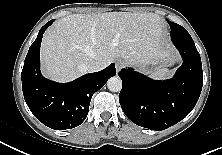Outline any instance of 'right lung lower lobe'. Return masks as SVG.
Here are the masks:
<instances>
[{
    "instance_id": "1",
    "label": "right lung lower lobe",
    "mask_w": 222,
    "mask_h": 155,
    "mask_svg": "<svg viewBox=\"0 0 222 155\" xmlns=\"http://www.w3.org/2000/svg\"><path fill=\"white\" fill-rule=\"evenodd\" d=\"M53 21L40 29L29 48L22 70V89L29 109L40 122L55 130H65L85 120L92 95L116 74V69L111 64L102 71L65 84L42 77L39 69L40 45L44 31Z\"/></svg>"
}]
</instances>
